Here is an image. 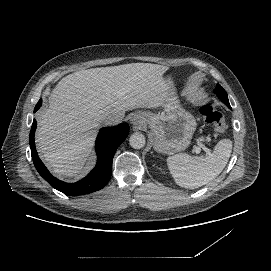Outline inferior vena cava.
Returning <instances> with one entry per match:
<instances>
[{
  "label": "inferior vena cava",
  "instance_id": "1",
  "mask_svg": "<svg viewBox=\"0 0 271 271\" xmlns=\"http://www.w3.org/2000/svg\"><path fill=\"white\" fill-rule=\"evenodd\" d=\"M96 121L103 126H113L120 122V119L111 115H100L96 118Z\"/></svg>",
  "mask_w": 271,
  "mask_h": 271
}]
</instances>
